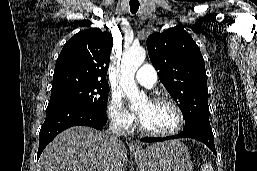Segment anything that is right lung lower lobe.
I'll return each mask as SVG.
<instances>
[{
  "label": "right lung lower lobe",
  "instance_id": "1",
  "mask_svg": "<svg viewBox=\"0 0 257 171\" xmlns=\"http://www.w3.org/2000/svg\"><path fill=\"white\" fill-rule=\"evenodd\" d=\"M107 122V115L79 103H61L49 105L46 118L39 133L37 159L46 145L56 135L72 126L82 125L101 129Z\"/></svg>",
  "mask_w": 257,
  "mask_h": 171
}]
</instances>
